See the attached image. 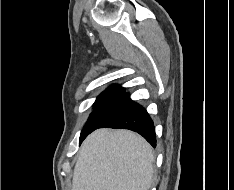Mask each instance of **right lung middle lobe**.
Wrapping results in <instances>:
<instances>
[{
  "instance_id": "right-lung-middle-lobe-1",
  "label": "right lung middle lobe",
  "mask_w": 234,
  "mask_h": 190,
  "mask_svg": "<svg viewBox=\"0 0 234 190\" xmlns=\"http://www.w3.org/2000/svg\"><path fill=\"white\" fill-rule=\"evenodd\" d=\"M124 90L119 85H111L97 97L93 105L94 111L90 114L80 136L86 135L100 126L116 106Z\"/></svg>"
}]
</instances>
